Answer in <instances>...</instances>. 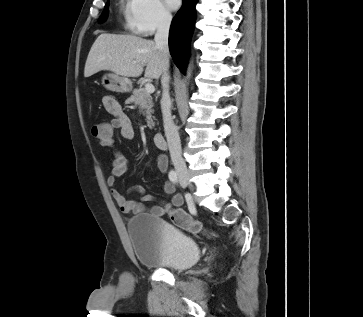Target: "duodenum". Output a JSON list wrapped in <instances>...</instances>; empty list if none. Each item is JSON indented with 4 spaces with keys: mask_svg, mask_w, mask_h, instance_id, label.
<instances>
[{
    "mask_svg": "<svg viewBox=\"0 0 363 317\" xmlns=\"http://www.w3.org/2000/svg\"><path fill=\"white\" fill-rule=\"evenodd\" d=\"M153 142H154V145L160 149L165 148L167 146L165 138H164L163 134L160 132L154 133Z\"/></svg>",
    "mask_w": 363,
    "mask_h": 317,
    "instance_id": "duodenum-1",
    "label": "duodenum"
}]
</instances>
